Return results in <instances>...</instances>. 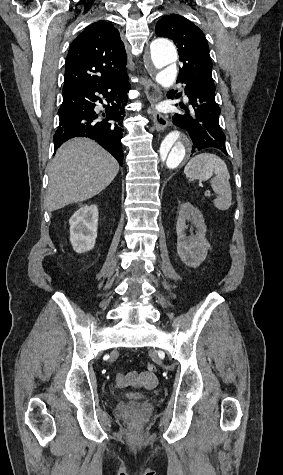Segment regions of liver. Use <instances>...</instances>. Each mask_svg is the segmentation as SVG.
Here are the masks:
<instances>
[{"instance_id": "obj_1", "label": "liver", "mask_w": 283, "mask_h": 475, "mask_svg": "<svg viewBox=\"0 0 283 475\" xmlns=\"http://www.w3.org/2000/svg\"><path fill=\"white\" fill-rule=\"evenodd\" d=\"M119 172L111 154L89 138H74L56 152L51 164L47 206L50 212L85 202L105 190Z\"/></svg>"}]
</instances>
